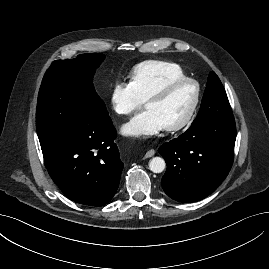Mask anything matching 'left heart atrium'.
<instances>
[{
	"mask_svg": "<svg viewBox=\"0 0 269 269\" xmlns=\"http://www.w3.org/2000/svg\"><path fill=\"white\" fill-rule=\"evenodd\" d=\"M164 128L165 126L157 114L146 110L126 122L122 127V132L133 137H151Z\"/></svg>",
	"mask_w": 269,
	"mask_h": 269,
	"instance_id": "1",
	"label": "left heart atrium"
}]
</instances>
